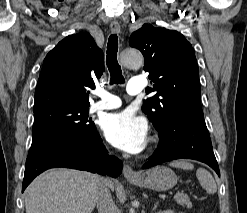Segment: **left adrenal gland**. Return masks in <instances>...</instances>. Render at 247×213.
Here are the masks:
<instances>
[{"mask_svg":"<svg viewBox=\"0 0 247 213\" xmlns=\"http://www.w3.org/2000/svg\"><path fill=\"white\" fill-rule=\"evenodd\" d=\"M157 204L158 203L154 204L153 210H155L157 208Z\"/></svg>","mask_w":247,"mask_h":213,"instance_id":"left-adrenal-gland-1","label":"left adrenal gland"}]
</instances>
